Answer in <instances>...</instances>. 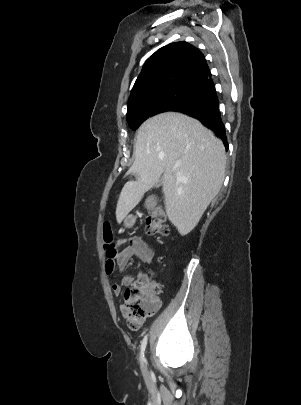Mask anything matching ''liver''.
I'll return each instance as SVG.
<instances>
[{
	"instance_id": "1",
	"label": "liver",
	"mask_w": 301,
	"mask_h": 405,
	"mask_svg": "<svg viewBox=\"0 0 301 405\" xmlns=\"http://www.w3.org/2000/svg\"><path fill=\"white\" fill-rule=\"evenodd\" d=\"M225 166L222 141L198 120L176 112L149 118L137 133L135 161L128 171L137 180L126 182L120 193L117 222L162 176L168 219L181 235L188 234L219 193Z\"/></svg>"
}]
</instances>
